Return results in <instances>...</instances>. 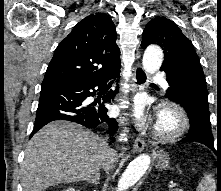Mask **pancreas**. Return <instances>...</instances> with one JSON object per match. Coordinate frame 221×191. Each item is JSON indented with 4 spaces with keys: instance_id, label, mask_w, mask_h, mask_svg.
I'll use <instances>...</instances> for the list:
<instances>
[{
    "instance_id": "obj_1",
    "label": "pancreas",
    "mask_w": 221,
    "mask_h": 191,
    "mask_svg": "<svg viewBox=\"0 0 221 191\" xmlns=\"http://www.w3.org/2000/svg\"><path fill=\"white\" fill-rule=\"evenodd\" d=\"M171 191H183L182 189H172Z\"/></svg>"
}]
</instances>
